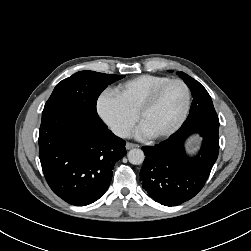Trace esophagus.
Wrapping results in <instances>:
<instances>
[{
  "instance_id": "1",
  "label": "esophagus",
  "mask_w": 251,
  "mask_h": 251,
  "mask_svg": "<svg viewBox=\"0 0 251 251\" xmlns=\"http://www.w3.org/2000/svg\"><path fill=\"white\" fill-rule=\"evenodd\" d=\"M125 147L127 150H129V149L138 147V145L134 144V143L127 142Z\"/></svg>"
}]
</instances>
